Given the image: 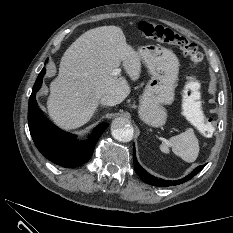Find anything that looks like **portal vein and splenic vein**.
Segmentation results:
<instances>
[{"instance_id":"portal-vein-and-splenic-vein-1","label":"portal vein and splenic vein","mask_w":233,"mask_h":233,"mask_svg":"<svg viewBox=\"0 0 233 233\" xmlns=\"http://www.w3.org/2000/svg\"><path fill=\"white\" fill-rule=\"evenodd\" d=\"M120 72H121V69H120V68H116V69H114V70L112 71V75H113V76H117V75L120 74Z\"/></svg>"}]
</instances>
